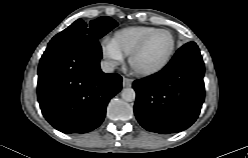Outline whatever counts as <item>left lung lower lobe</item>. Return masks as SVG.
<instances>
[{"mask_svg": "<svg viewBox=\"0 0 248 158\" xmlns=\"http://www.w3.org/2000/svg\"><path fill=\"white\" fill-rule=\"evenodd\" d=\"M204 63L198 46H182L157 74L136 80L134 113L148 131H183L197 119L204 101Z\"/></svg>", "mask_w": 248, "mask_h": 158, "instance_id": "1", "label": "left lung lower lobe"}]
</instances>
